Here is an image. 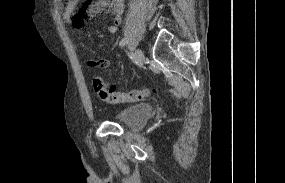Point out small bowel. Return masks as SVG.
Here are the masks:
<instances>
[{"label":"small bowel","mask_w":285,"mask_h":183,"mask_svg":"<svg viewBox=\"0 0 285 183\" xmlns=\"http://www.w3.org/2000/svg\"><path fill=\"white\" fill-rule=\"evenodd\" d=\"M125 0H96L88 3L78 14H74L77 6V0L70 1L66 4L63 12V18L66 22L73 26L74 29H82L86 20L96 17L100 14L110 13L113 15V21L108 26V32L115 36L121 22L124 11ZM87 66L93 69L104 70L112 65L107 59H95L91 56L86 58Z\"/></svg>","instance_id":"1"}]
</instances>
